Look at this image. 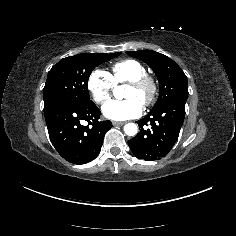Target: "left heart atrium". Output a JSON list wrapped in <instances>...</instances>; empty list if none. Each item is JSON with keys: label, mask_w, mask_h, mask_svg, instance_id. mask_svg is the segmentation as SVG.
I'll return each instance as SVG.
<instances>
[{"label": "left heart atrium", "mask_w": 236, "mask_h": 236, "mask_svg": "<svg viewBox=\"0 0 236 236\" xmlns=\"http://www.w3.org/2000/svg\"><path fill=\"white\" fill-rule=\"evenodd\" d=\"M143 112V104L134 99L112 101L108 103L103 114L106 118L114 121H125L139 117Z\"/></svg>", "instance_id": "left-heart-atrium-1"}]
</instances>
